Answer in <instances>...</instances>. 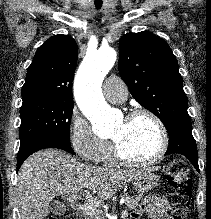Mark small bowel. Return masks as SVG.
<instances>
[{"mask_svg":"<svg viewBox=\"0 0 211 219\" xmlns=\"http://www.w3.org/2000/svg\"><path fill=\"white\" fill-rule=\"evenodd\" d=\"M142 214H146L153 219H171L169 205L161 196H151L142 206L135 210L132 219H139Z\"/></svg>","mask_w":211,"mask_h":219,"instance_id":"small-bowel-1","label":"small bowel"}]
</instances>
